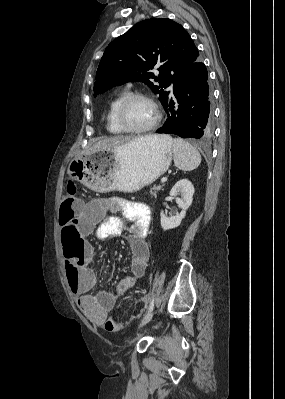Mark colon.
Masks as SVG:
<instances>
[{"instance_id": "colon-1", "label": "colon", "mask_w": 285, "mask_h": 399, "mask_svg": "<svg viewBox=\"0 0 285 399\" xmlns=\"http://www.w3.org/2000/svg\"><path fill=\"white\" fill-rule=\"evenodd\" d=\"M80 206L77 186L73 181H70L60 207V223L65 231L64 240L68 242L67 246L69 247L66 253L65 271L70 279H74L80 274L86 256L83 245L76 240L79 224L74 219L76 209Z\"/></svg>"}]
</instances>
